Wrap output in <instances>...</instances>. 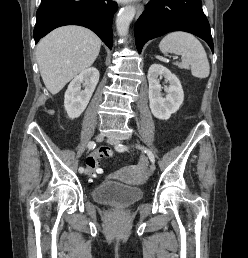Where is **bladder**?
I'll use <instances>...</instances> for the list:
<instances>
[{"label": "bladder", "instance_id": "bladder-1", "mask_svg": "<svg viewBox=\"0 0 248 258\" xmlns=\"http://www.w3.org/2000/svg\"><path fill=\"white\" fill-rule=\"evenodd\" d=\"M92 196L99 203L128 207L143 197V191L116 182H104L93 189Z\"/></svg>", "mask_w": 248, "mask_h": 258}]
</instances>
